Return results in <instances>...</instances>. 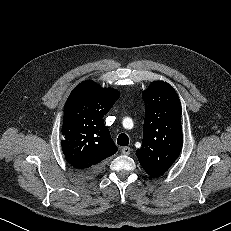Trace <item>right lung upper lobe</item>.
<instances>
[{
	"instance_id": "1",
	"label": "right lung upper lobe",
	"mask_w": 231,
	"mask_h": 231,
	"mask_svg": "<svg viewBox=\"0 0 231 231\" xmlns=\"http://www.w3.org/2000/svg\"><path fill=\"white\" fill-rule=\"evenodd\" d=\"M119 98L118 90L83 81L64 107L61 146L67 162L78 171L101 167L118 150L103 117Z\"/></svg>"
}]
</instances>
